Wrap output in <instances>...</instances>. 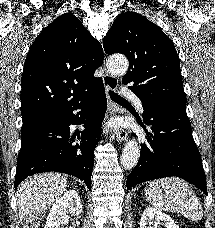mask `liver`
<instances>
[{"label":"liver","mask_w":215,"mask_h":228,"mask_svg":"<svg viewBox=\"0 0 215 228\" xmlns=\"http://www.w3.org/2000/svg\"><path fill=\"white\" fill-rule=\"evenodd\" d=\"M68 182L63 174L46 172L26 178L17 188L16 198L22 228H39L49 206L66 192Z\"/></svg>","instance_id":"liver-1"}]
</instances>
